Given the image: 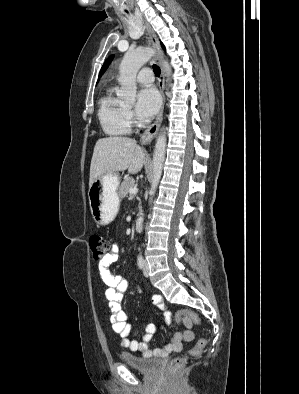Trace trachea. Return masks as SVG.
<instances>
[{"label":"trachea","instance_id":"obj_1","mask_svg":"<svg viewBox=\"0 0 299 394\" xmlns=\"http://www.w3.org/2000/svg\"><path fill=\"white\" fill-rule=\"evenodd\" d=\"M153 70H154L156 76L159 77L160 76V68L157 65H154Z\"/></svg>","mask_w":299,"mask_h":394}]
</instances>
